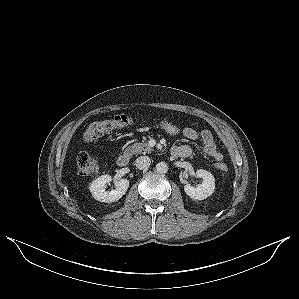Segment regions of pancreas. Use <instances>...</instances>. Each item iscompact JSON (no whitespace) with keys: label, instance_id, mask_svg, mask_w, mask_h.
<instances>
[{"label":"pancreas","instance_id":"1","mask_svg":"<svg viewBox=\"0 0 299 299\" xmlns=\"http://www.w3.org/2000/svg\"><path fill=\"white\" fill-rule=\"evenodd\" d=\"M152 151L153 149L148 145L147 142L134 143L126 149V153L129 155L147 154L151 153Z\"/></svg>","mask_w":299,"mask_h":299}]
</instances>
